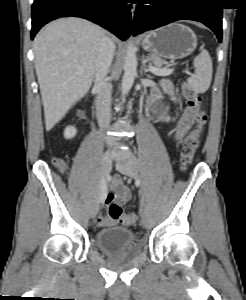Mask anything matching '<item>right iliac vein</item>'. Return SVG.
Returning a JSON list of instances; mask_svg holds the SVG:
<instances>
[{
	"label": "right iliac vein",
	"mask_w": 246,
	"mask_h": 300,
	"mask_svg": "<svg viewBox=\"0 0 246 300\" xmlns=\"http://www.w3.org/2000/svg\"><path fill=\"white\" fill-rule=\"evenodd\" d=\"M112 168V162H111V155L110 153H105L102 157L101 164H100V176L101 179H105L108 174L110 173ZM99 199H100V188L98 187L94 203L91 208V217L94 218L99 210Z\"/></svg>",
	"instance_id": "obj_1"
}]
</instances>
